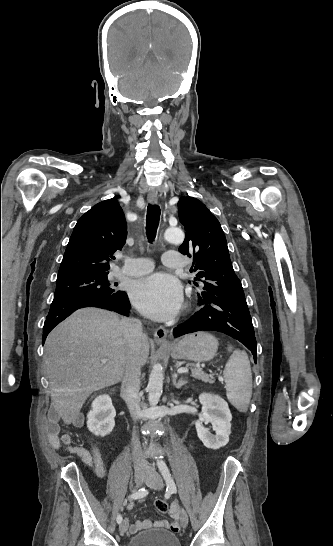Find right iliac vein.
<instances>
[{
    "instance_id": "63e3f726",
    "label": "right iliac vein",
    "mask_w": 333,
    "mask_h": 546,
    "mask_svg": "<svg viewBox=\"0 0 333 546\" xmlns=\"http://www.w3.org/2000/svg\"><path fill=\"white\" fill-rule=\"evenodd\" d=\"M146 477H147V475H146V473H145L144 471H142V470H137V471L135 472V475H134V480H135L136 485L139 486V485H141L143 482H145ZM128 526H129V521H128L127 518H125V519L122 521V523L120 524V526H119V532H120L121 534H124V533L127 531Z\"/></svg>"
}]
</instances>
